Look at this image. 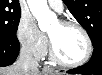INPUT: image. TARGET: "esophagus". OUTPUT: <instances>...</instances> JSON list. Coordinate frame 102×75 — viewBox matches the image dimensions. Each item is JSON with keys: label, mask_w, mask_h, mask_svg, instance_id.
Returning a JSON list of instances; mask_svg holds the SVG:
<instances>
[{"label": "esophagus", "mask_w": 102, "mask_h": 75, "mask_svg": "<svg viewBox=\"0 0 102 75\" xmlns=\"http://www.w3.org/2000/svg\"><path fill=\"white\" fill-rule=\"evenodd\" d=\"M43 71H44L45 73H51V72L53 71V69L50 68L49 66H45V67L43 68Z\"/></svg>", "instance_id": "34e87169"}]
</instances>
